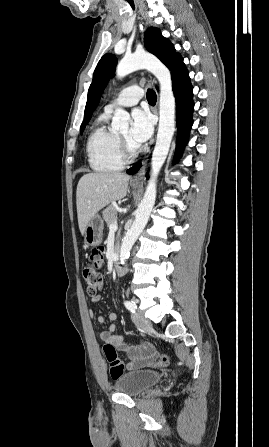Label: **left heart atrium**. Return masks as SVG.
Masks as SVG:
<instances>
[{"mask_svg": "<svg viewBox=\"0 0 269 447\" xmlns=\"http://www.w3.org/2000/svg\"><path fill=\"white\" fill-rule=\"evenodd\" d=\"M133 127L131 140L136 145H141L147 141L153 133V123L149 113L143 109H135L132 113Z\"/></svg>", "mask_w": 269, "mask_h": 447, "instance_id": "39dd6f15", "label": "left heart atrium"}]
</instances>
